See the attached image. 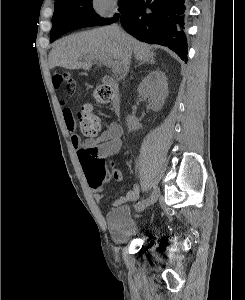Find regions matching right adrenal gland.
<instances>
[{
  "mask_svg": "<svg viewBox=\"0 0 245 300\" xmlns=\"http://www.w3.org/2000/svg\"><path fill=\"white\" fill-rule=\"evenodd\" d=\"M144 63H154V60L153 59H151V60H143V61H140L139 63H138V65L137 66H140V65H142V64H144ZM137 66H135V67H137Z\"/></svg>",
  "mask_w": 245,
  "mask_h": 300,
  "instance_id": "2a0ac1e0",
  "label": "right adrenal gland"
}]
</instances>
